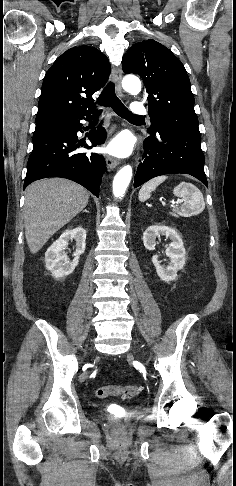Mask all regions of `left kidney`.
I'll use <instances>...</instances> for the list:
<instances>
[{
  "label": "left kidney",
  "mask_w": 236,
  "mask_h": 486,
  "mask_svg": "<svg viewBox=\"0 0 236 486\" xmlns=\"http://www.w3.org/2000/svg\"><path fill=\"white\" fill-rule=\"evenodd\" d=\"M166 236L171 239L169 247L165 250L169 258L168 265H161L158 255H153L152 263L155 266L157 275L162 281L170 282L177 277L178 270H181L186 263V251L179 233L174 229L164 225L149 226L143 233V243L146 249L153 251L156 246L158 236Z\"/></svg>",
  "instance_id": "obj_1"
}]
</instances>
